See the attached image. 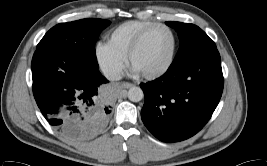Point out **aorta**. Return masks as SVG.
<instances>
[{
    "label": "aorta",
    "instance_id": "aorta-1",
    "mask_svg": "<svg viewBox=\"0 0 267 166\" xmlns=\"http://www.w3.org/2000/svg\"><path fill=\"white\" fill-rule=\"evenodd\" d=\"M127 95L128 99L132 102H139L144 97V93L140 87H131Z\"/></svg>",
    "mask_w": 267,
    "mask_h": 166
}]
</instances>
